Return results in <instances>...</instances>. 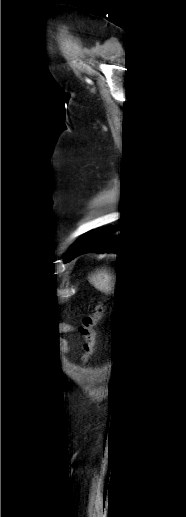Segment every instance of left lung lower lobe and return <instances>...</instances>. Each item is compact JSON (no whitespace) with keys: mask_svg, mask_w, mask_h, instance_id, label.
<instances>
[{"mask_svg":"<svg viewBox=\"0 0 186 517\" xmlns=\"http://www.w3.org/2000/svg\"><path fill=\"white\" fill-rule=\"evenodd\" d=\"M88 251H96L99 253L103 252H116L122 253L121 243L119 240L111 236V230H96L92 232L89 240L77 250L71 259Z\"/></svg>","mask_w":186,"mask_h":517,"instance_id":"1","label":"left lung lower lobe"}]
</instances>
